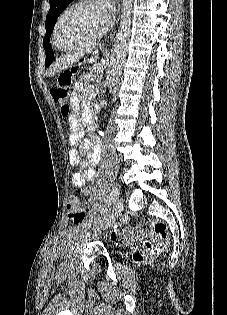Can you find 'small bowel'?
I'll return each instance as SVG.
<instances>
[{"instance_id":"c3829d8e","label":"small bowel","mask_w":227,"mask_h":315,"mask_svg":"<svg viewBox=\"0 0 227 315\" xmlns=\"http://www.w3.org/2000/svg\"><path fill=\"white\" fill-rule=\"evenodd\" d=\"M92 92V87L83 82L74 84V99L76 101L85 100ZM71 133L69 136V162L73 167L80 170L73 173L71 183L74 187L81 188L82 193L86 196L91 195V189L86 185L87 181L94 180L96 172L94 165L99 160V150L96 146H92L89 140L81 142L80 151L86 154L85 158H81L80 151L77 149L82 138V129L76 119H71Z\"/></svg>"}]
</instances>
